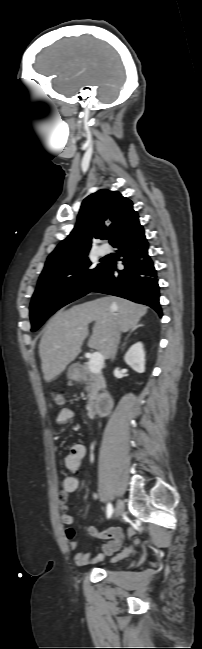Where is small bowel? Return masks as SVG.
Returning a JSON list of instances; mask_svg holds the SVG:
<instances>
[{
    "instance_id": "obj_1",
    "label": "small bowel",
    "mask_w": 202,
    "mask_h": 649,
    "mask_svg": "<svg viewBox=\"0 0 202 649\" xmlns=\"http://www.w3.org/2000/svg\"><path fill=\"white\" fill-rule=\"evenodd\" d=\"M74 418V412L70 408H63L59 411L57 415V423L60 425L67 424ZM86 454V447L83 444H75L70 449L68 454L65 457L64 465L66 471L69 473L68 476L64 478L62 488L58 494L60 508V518L63 524L70 525L73 522V518L70 512V508L66 504L68 498L71 494L79 488V479L76 476L79 473L82 460ZM88 533L91 537L96 539H105L106 542L102 544L100 553L88 552V553H76L74 555L75 563L79 566L97 564L102 562L106 557L112 556L110 561L116 562L129 553V548H125L122 552L117 553L124 539V534L121 528L119 527H110L105 531H98L95 527H89ZM64 538L67 541V546L70 550H76L78 543L75 540V531L71 527H67L64 530ZM117 553L116 555H114Z\"/></svg>"
}]
</instances>
